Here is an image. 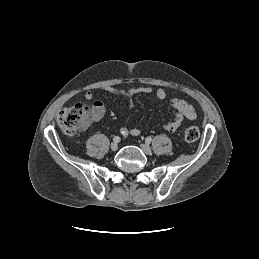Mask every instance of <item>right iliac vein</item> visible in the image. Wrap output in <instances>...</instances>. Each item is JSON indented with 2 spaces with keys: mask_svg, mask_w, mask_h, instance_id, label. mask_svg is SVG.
<instances>
[{
  "mask_svg": "<svg viewBox=\"0 0 259 259\" xmlns=\"http://www.w3.org/2000/svg\"><path fill=\"white\" fill-rule=\"evenodd\" d=\"M110 148H111L112 151H116V150L118 149V144L115 143V142H113V143L111 144Z\"/></svg>",
  "mask_w": 259,
  "mask_h": 259,
  "instance_id": "63e3f726",
  "label": "right iliac vein"
}]
</instances>
